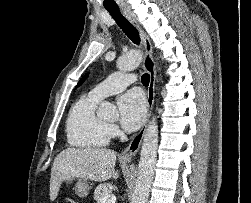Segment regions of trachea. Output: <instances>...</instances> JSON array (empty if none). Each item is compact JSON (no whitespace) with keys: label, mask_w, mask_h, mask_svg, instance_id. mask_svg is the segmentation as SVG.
I'll list each match as a JSON object with an SVG mask.
<instances>
[{"label":"trachea","mask_w":251,"mask_h":203,"mask_svg":"<svg viewBox=\"0 0 251 203\" xmlns=\"http://www.w3.org/2000/svg\"><path fill=\"white\" fill-rule=\"evenodd\" d=\"M108 12L123 32L130 38V40L136 45H139L140 37L137 29L121 14L120 10H108ZM141 81L143 85L148 86L150 82V75L147 73L143 74Z\"/></svg>","instance_id":"trachea-1"}]
</instances>
